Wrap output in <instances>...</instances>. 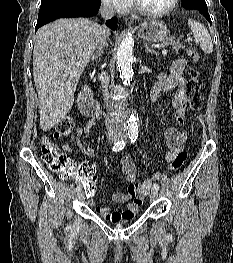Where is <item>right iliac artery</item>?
Listing matches in <instances>:
<instances>
[{
	"instance_id": "82829eb1",
	"label": "right iliac artery",
	"mask_w": 233,
	"mask_h": 263,
	"mask_svg": "<svg viewBox=\"0 0 233 263\" xmlns=\"http://www.w3.org/2000/svg\"><path fill=\"white\" fill-rule=\"evenodd\" d=\"M125 144H126V142L124 140L118 141L114 144V146L112 147V150L116 151V152L120 151L125 147ZM76 191L77 192L81 191V185H78L76 187Z\"/></svg>"
}]
</instances>
